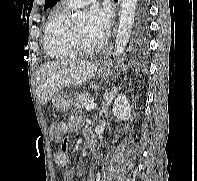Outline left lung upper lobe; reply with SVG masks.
Wrapping results in <instances>:
<instances>
[{"mask_svg": "<svg viewBox=\"0 0 197 181\" xmlns=\"http://www.w3.org/2000/svg\"><path fill=\"white\" fill-rule=\"evenodd\" d=\"M57 1L59 0H45V6H44V9H47L49 7H53Z\"/></svg>", "mask_w": 197, "mask_h": 181, "instance_id": "left-lung-upper-lobe-1", "label": "left lung upper lobe"}]
</instances>
